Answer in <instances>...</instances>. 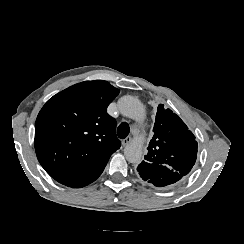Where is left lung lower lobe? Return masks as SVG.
Segmentation results:
<instances>
[{
	"mask_svg": "<svg viewBox=\"0 0 244 244\" xmlns=\"http://www.w3.org/2000/svg\"><path fill=\"white\" fill-rule=\"evenodd\" d=\"M137 171L139 172L140 177L144 181H147L148 183H151L157 187H164V186L174 184L183 177V176L179 175V176H174L169 179H165L164 177H159L158 175H156L155 173H153L151 171H144V170L140 169L139 167H137Z\"/></svg>",
	"mask_w": 244,
	"mask_h": 244,
	"instance_id": "obj_1",
	"label": "left lung lower lobe"
}]
</instances>
